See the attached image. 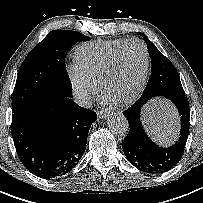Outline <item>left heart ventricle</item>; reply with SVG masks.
I'll use <instances>...</instances> for the list:
<instances>
[{"label":"left heart ventricle","mask_w":203,"mask_h":203,"mask_svg":"<svg viewBox=\"0 0 203 203\" xmlns=\"http://www.w3.org/2000/svg\"><path fill=\"white\" fill-rule=\"evenodd\" d=\"M145 65L143 48L138 43L127 45L119 57L118 64L110 77L106 95L114 101L130 96L136 89Z\"/></svg>","instance_id":"left-heart-ventricle-1"}]
</instances>
